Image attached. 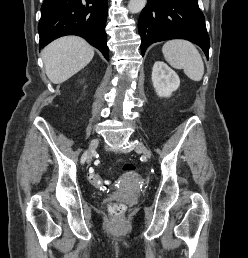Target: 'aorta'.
I'll return each instance as SVG.
<instances>
[{
  "mask_svg": "<svg viewBox=\"0 0 248 258\" xmlns=\"http://www.w3.org/2000/svg\"><path fill=\"white\" fill-rule=\"evenodd\" d=\"M147 0H130L128 9L131 13H139L146 5Z\"/></svg>",
  "mask_w": 248,
  "mask_h": 258,
  "instance_id": "obj_1",
  "label": "aorta"
}]
</instances>
